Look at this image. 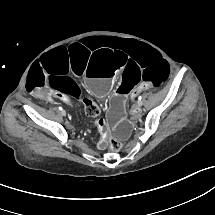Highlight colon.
<instances>
[{
	"label": "colon",
	"instance_id": "colon-1",
	"mask_svg": "<svg viewBox=\"0 0 215 215\" xmlns=\"http://www.w3.org/2000/svg\"><path fill=\"white\" fill-rule=\"evenodd\" d=\"M84 110H85L86 115L91 116V117H96V116L100 115V113H101L100 107L91 100H87L85 102ZM111 148L113 150H119L120 145L116 141L112 140Z\"/></svg>",
	"mask_w": 215,
	"mask_h": 215
}]
</instances>
